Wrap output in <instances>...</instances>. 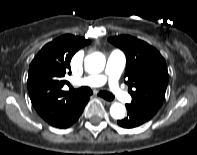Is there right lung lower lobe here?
<instances>
[{"label": "right lung lower lobe", "instance_id": "right-lung-lower-lobe-1", "mask_svg": "<svg viewBox=\"0 0 197 155\" xmlns=\"http://www.w3.org/2000/svg\"><path fill=\"white\" fill-rule=\"evenodd\" d=\"M88 100H89V97H83V100L80 102L77 108L73 111L70 117L59 128H67L71 126L72 124H74L78 120L80 115L82 114Z\"/></svg>", "mask_w": 197, "mask_h": 155}]
</instances>
